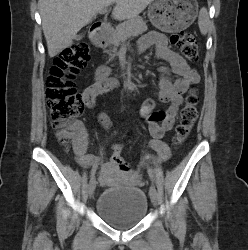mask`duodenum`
I'll return each mask as SVG.
<instances>
[{"label":"duodenum","mask_w":248,"mask_h":250,"mask_svg":"<svg viewBox=\"0 0 248 250\" xmlns=\"http://www.w3.org/2000/svg\"><path fill=\"white\" fill-rule=\"evenodd\" d=\"M104 28H105V24L103 22L93 23L89 30L91 40L98 42L99 44H102L100 33Z\"/></svg>","instance_id":"duodenum-1"}]
</instances>
